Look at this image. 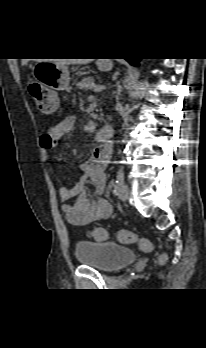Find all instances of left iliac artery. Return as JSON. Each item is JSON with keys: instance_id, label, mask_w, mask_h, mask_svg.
I'll use <instances>...</instances> for the list:
<instances>
[{"instance_id": "left-iliac-artery-1", "label": "left iliac artery", "mask_w": 206, "mask_h": 348, "mask_svg": "<svg viewBox=\"0 0 206 348\" xmlns=\"http://www.w3.org/2000/svg\"><path fill=\"white\" fill-rule=\"evenodd\" d=\"M125 183V177H124V173L120 170L117 173L116 176V180H115V184H114V188H113V192L114 194H118L121 187L124 185Z\"/></svg>"}]
</instances>
